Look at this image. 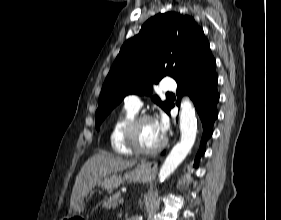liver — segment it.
I'll use <instances>...</instances> for the list:
<instances>
[{
    "label": "liver",
    "instance_id": "obj_1",
    "mask_svg": "<svg viewBox=\"0 0 281 220\" xmlns=\"http://www.w3.org/2000/svg\"><path fill=\"white\" fill-rule=\"evenodd\" d=\"M136 163V160H124L106 152H100L90 157L76 177L69 212L71 213L83 201L84 197L103 177L128 169Z\"/></svg>",
    "mask_w": 281,
    "mask_h": 220
}]
</instances>
